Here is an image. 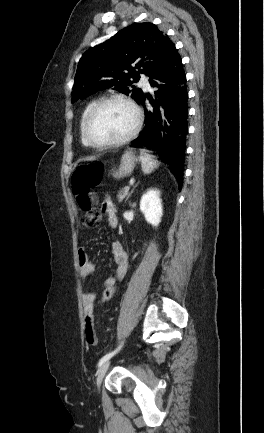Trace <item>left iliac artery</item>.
Returning a JSON list of instances; mask_svg holds the SVG:
<instances>
[{
	"mask_svg": "<svg viewBox=\"0 0 264 433\" xmlns=\"http://www.w3.org/2000/svg\"><path fill=\"white\" fill-rule=\"evenodd\" d=\"M122 345H123V342H122V344L116 350H114L113 352H110V353L106 354L105 356H103L100 359L98 365L101 366L104 362H106L107 360H109L114 354H116L118 352V350L121 349Z\"/></svg>",
	"mask_w": 264,
	"mask_h": 433,
	"instance_id": "left-iliac-artery-1",
	"label": "left iliac artery"
}]
</instances>
